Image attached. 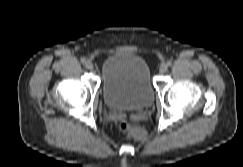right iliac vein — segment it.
I'll list each match as a JSON object with an SVG mask.
<instances>
[{
    "mask_svg": "<svg viewBox=\"0 0 243 167\" xmlns=\"http://www.w3.org/2000/svg\"><path fill=\"white\" fill-rule=\"evenodd\" d=\"M85 66H86V68L89 69V70H93V68H94V65H93V63H92L91 61H87V62L85 63Z\"/></svg>",
    "mask_w": 243,
    "mask_h": 167,
    "instance_id": "1",
    "label": "right iliac vein"
}]
</instances>
